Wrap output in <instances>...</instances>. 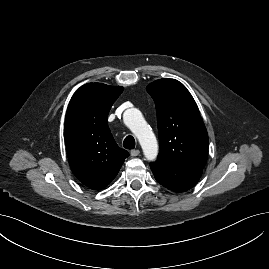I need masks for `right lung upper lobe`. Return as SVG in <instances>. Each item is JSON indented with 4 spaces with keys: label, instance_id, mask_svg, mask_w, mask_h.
Wrapping results in <instances>:
<instances>
[{
    "label": "right lung upper lobe",
    "instance_id": "obj_1",
    "mask_svg": "<svg viewBox=\"0 0 269 269\" xmlns=\"http://www.w3.org/2000/svg\"><path fill=\"white\" fill-rule=\"evenodd\" d=\"M122 91L123 87L88 83L74 93L67 108L64 138L70 167L80 182L93 189L106 187L129 156L116 144L107 122Z\"/></svg>",
    "mask_w": 269,
    "mask_h": 269
}]
</instances>
